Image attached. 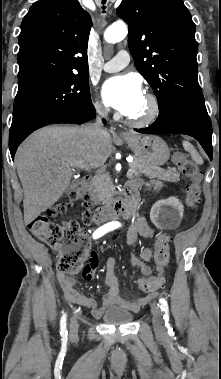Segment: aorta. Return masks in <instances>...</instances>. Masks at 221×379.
Wrapping results in <instances>:
<instances>
[{"label":"aorta","instance_id":"obj_1","mask_svg":"<svg viewBox=\"0 0 221 379\" xmlns=\"http://www.w3.org/2000/svg\"><path fill=\"white\" fill-rule=\"evenodd\" d=\"M127 34L128 28L124 23H114L106 29L104 38L108 43L114 44L123 40Z\"/></svg>","mask_w":221,"mask_h":379}]
</instances>
